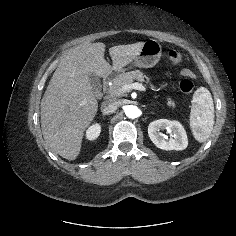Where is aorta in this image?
I'll list each match as a JSON object with an SVG mask.
<instances>
[{
    "label": "aorta",
    "mask_w": 236,
    "mask_h": 236,
    "mask_svg": "<svg viewBox=\"0 0 236 236\" xmlns=\"http://www.w3.org/2000/svg\"><path fill=\"white\" fill-rule=\"evenodd\" d=\"M125 114L128 118L135 119V118L139 117L140 110L137 106L128 105L125 108Z\"/></svg>",
    "instance_id": "aorta-1"
}]
</instances>
